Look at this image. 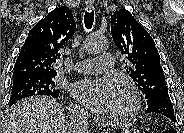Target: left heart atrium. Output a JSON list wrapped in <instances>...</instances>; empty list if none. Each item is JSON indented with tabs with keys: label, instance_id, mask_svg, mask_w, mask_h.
Wrapping results in <instances>:
<instances>
[{
	"label": "left heart atrium",
	"instance_id": "39dd6f15",
	"mask_svg": "<svg viewBox=\"0 0 184 133\" xmlns=\"http://www.w3.org/2000/svg\"><path fill=\"white\" fill-rule=\"evenodd\" d=\"M72 94L93 112L104 113L113 107L118 90L111 79L82 80L73 85Z\"/></svg>",
	"mask_w": 184,
	"mask_h": 133
}]
</instances>
